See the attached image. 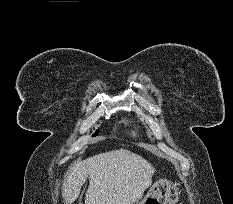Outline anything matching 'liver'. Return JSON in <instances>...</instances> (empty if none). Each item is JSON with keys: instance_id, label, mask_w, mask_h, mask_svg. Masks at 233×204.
Returning <instances> with one entry per match:
<instances>
[{"instance_id": "obj_1", "label": "liver", "mask_w": 233, "mask_h": 204, "mask_svg": "<svg viewBox=\"0 0 233 204\" xmlns=\"http://www.w3.org/2000/svg\"><path fill=\"white\" fill-rule=\"evenodd\" d=\"M155 168L127 149L100 153L77 161L67 173L62 195L72 204L89 177L85 204H133L150 185Z\"/></svg>"}]
</instances>
